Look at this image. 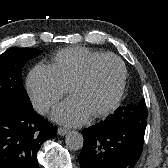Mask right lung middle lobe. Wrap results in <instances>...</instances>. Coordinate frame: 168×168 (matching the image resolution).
I'll use <instances>...</instances> for the list:
<instances>
[{"mask_svg":"<svg viewBox=\"0 0 168 168\" xmlns=\"http://www.w3.org/2000/svg\"><path fill=\"white\" fill-rule=\"evenodd\" d=\"M40 53L41 50L34 48H10L0 55V103L32 108L22 84L21 70Z\"/></svg>","mask_w":168,"mask_h":168,"instance_id":"1","label":"right lung middle lobe"}]
</instances>
